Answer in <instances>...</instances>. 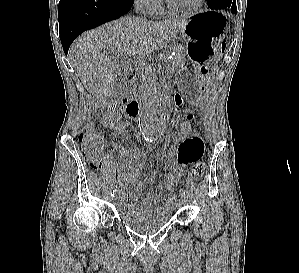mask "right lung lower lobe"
Instances as JSON below:
<instances>
[{
	"mask_svg": "<svg viewBox=\"0 0 299 273\" xmlns=\"http://www.w3.org/2000/svg\"><path fill=\"white\" fill-rule=\"evenodd\" d=\"M133 3L134 0H60L59 32L65 54L79 34L121 17Z\"/></svg>",
	"mask_w": 299,
	"mask_h": 273,
	"instance_id": "right-lung-lower-lobe-1",
	"label": "right lung lower lobe"
}]
</instances>
